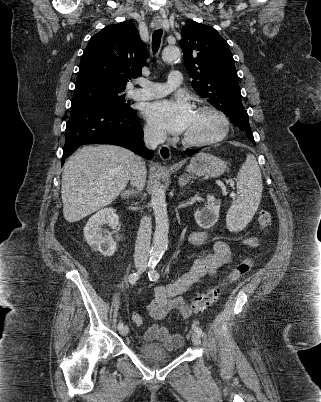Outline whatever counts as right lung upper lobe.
<instances>
[{
  "label": "right lung upper lobe",
  "instance_id": "obj_1",
  "mask_svg": "<svg viewBox=\"0 0 321 402\" xmlns=\"http://www.w3.org/2000/svg\"><path fill=\"white\" fill-rule=\"evenodd\" d=\"M146 44L133 23L109 25L94 35L81 58L76 84L100 83L125 90L132 77L142 75Z\"/></svg>",
  "mask_w": 321,
  "mask_h": 402
}]
</instances>
